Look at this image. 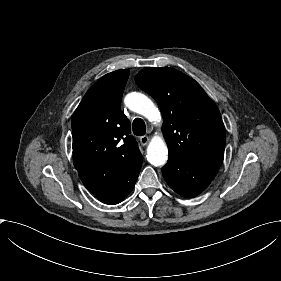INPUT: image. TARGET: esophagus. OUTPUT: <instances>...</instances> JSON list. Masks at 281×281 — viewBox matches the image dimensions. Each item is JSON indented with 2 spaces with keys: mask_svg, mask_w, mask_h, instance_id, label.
I'll return each instance as SVG.
<instances>
[{
  "mask_svg": "<svg viewBox=\"0 0 281 281\" xmlns=\"http://www.w3.org/2000/svg\"><path fill=\"white\" fill-rule=\"evenodd\" d=\"M150 138L148 136H142L140 137V143L142 144V146H145L149 143Z\"/></svg>",
  "mask_w": 281,
  "mask_h": 281,
  "instance_id": "34e87169",
  "label": "esophagus"
}]
</instances>
